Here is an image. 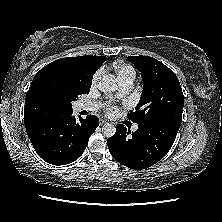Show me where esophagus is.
Listing matches in <instances>:
<instances>
[{
	"label": "esophagus",
	"instance_id": "obj_1",
	"mask_svg": "<svg viewBox=\"0 0 222 222\" xmlns=\"http://www.w3.org/2000/svg\"><path fill=\"white\" fill-rule=\"evenodd\" d=\"M106 123H107L106 120H101V121H100V125H104V124H106Z\"/></svg>",
	"mask_w": 222,
	"mask_h": 222
}]
</instances>
